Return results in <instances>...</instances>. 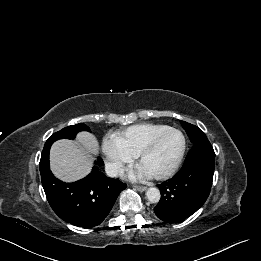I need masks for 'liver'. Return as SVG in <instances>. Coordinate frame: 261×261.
<instances>
[{"mask_svg": "<svg viewBox=\"0 0 261 261\" xmlns=\"http://www.w3.org/2000/svg\"><path fill=\"white\" fill-rule=\"evenodd\" d=\"M99 150L98 141L88 132H80L77 142L61 139L50 149V166L54 175L72 182L85 177L92 168V155Z\"/></svg>", "mask_w": 261, "mask_h": 261, "instance_id": "1", "label": "liver"}]
</instances>
